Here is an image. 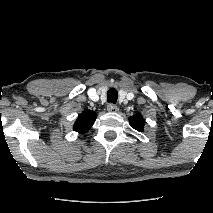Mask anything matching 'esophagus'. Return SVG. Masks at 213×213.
I'll return each mask as SVG.
<instances>
[{"mask_svg": "<svg viewBox=\"0 0 213 213\" xmlns=\"http://www.w3.org/2000/svg\"><path fill=\"white\" fill-rule=\"evenodd\" d=\"M107 111L109 113H116L118 111V108H117L116 105L110 103V104L107 105Z\"/></svg>", "mask_w": 213, "mask_h": 213, "instance_id": "obj_1", "label": "esophagus"}]
</instances>
